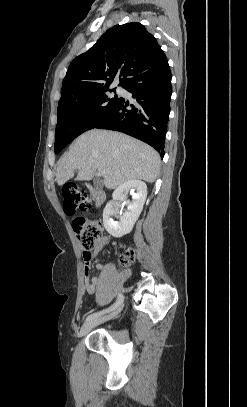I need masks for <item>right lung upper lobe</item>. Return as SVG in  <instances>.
<instances>
[{"mask_svg":"<svg viewBox=\"0 0 247 407\" xmlns=\"http://www.w3.org/2000/svg\"><path fill=\"white\" fill-rule=\"evenodd\" d=\"M165 60L157 40L142 24L115 25L71 62L58 106L107 89L116 76L123 87L133 75Z\"/></svg>","mask_w":247,"mask_h":407,"instance_id":"right-lung-upper-lobe-1","label":"right lung upper lobe"}]
</instances>
